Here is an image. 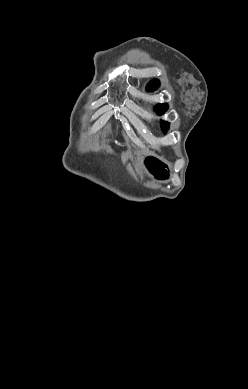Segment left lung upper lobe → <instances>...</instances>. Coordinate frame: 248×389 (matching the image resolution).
Listing matches in <instances>:
<instances>
[{
  "label": "left lung upper lobe",
  "instance_id": "5c2ea615",
  "mask_svg": "<svg viewBox=\"0 0 248 389\" xmlns=\"http://www.w3.org/2000/svg\"><path fill=\"white\" fill-rule=\"evenodd\" d=\"M159 85H160L159 80L154 79L147 84V86H146L147 91H154L159 87ZM167 108H168L167 104H157L155 106V110L159 114L164 113L167 110ZM161 128H162L163 132L166 133V131L169 128V123L165 122V121H161Z\"/></svg>",
  "mask_w": 248,
  "mask_h": 389
}]
</instances>
